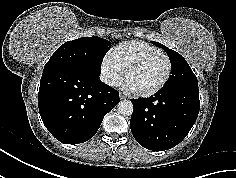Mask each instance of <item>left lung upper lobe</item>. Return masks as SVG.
Here are the masks:
<instances>
[{
  "instance_id": "5c2ea615",
  "label": "left lung upper lobe",
  "mask_w": 236,
  "mask_h": 178,
  "mask_svg": "<svg viewBox=\"0 0 236 178\" xmlns=\"http://www.w3.org/2000/svg\"><path fill=\"white\" fill-rule=\"evenodd\" d=\"M157 47L163 48L169 56L172 63V70L169 80L166 82L165 87L173 85H196L198 81L195 74L192 72L187 61L176 51L167 48L166 46L152 41Z\"/></svg>"
}]
</instances>
